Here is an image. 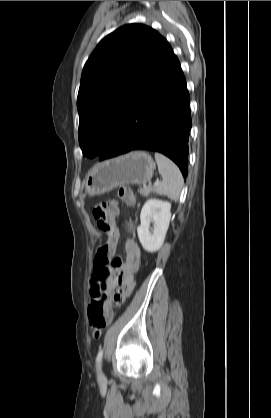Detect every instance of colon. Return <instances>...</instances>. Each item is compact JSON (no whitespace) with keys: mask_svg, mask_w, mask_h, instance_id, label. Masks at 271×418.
Instances as JSON below:
<instances>
[{"mask_svg":"<svg viewBox=\"0 0 271 418\" xmlns=\"http://www.w3.org/2000/svg\"><path fill=\"white\" fill-rule=\"evenodd\" d=\"M119 201L132 205L134 195L127 187L118 190V200L110 199L98 203L93 209V217L97 227L109 235L110 240L115 239L114 218L119 210ZM119 257H109V246H102L94 259V280L98 283L92 294L91 304L88 309L89 324L95 337L100 336L102 331L110 324L112 312L108 308L106 292L101 285L109 276L116 273L121 266Z\"/></svg>","mask_w":271,"mask_h":418,"instance_id":"obj_1","label":"colon"}]
</instances>
